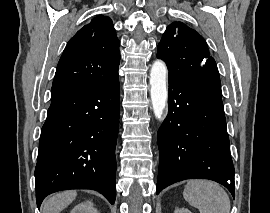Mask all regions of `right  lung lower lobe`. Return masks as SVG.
<instances>
[{
  "mask_svg": "<svg viewBox=\"0 0 270 213\" xmlns=\"http://www.w3.org/2000/svg\"><path fill=\"white\" fill-rule=\"evenodd\" d=\"M119 78L51 99L35 168L37 206L54 192L93 189L114 204Z\"/></svg>",
  "mask_w": 270,
  "mask_h": 213,
  "instance_id": "98d812e1",
  "label": "right lung lower lobe"
}]
</instances>
